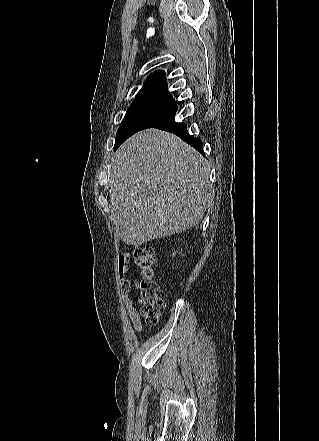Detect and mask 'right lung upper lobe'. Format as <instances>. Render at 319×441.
<instances>
[{
  "instance_id": "1",
  "label": "right lung upper lobe",
  "mask_w": 319,
  "mask_h": 441,
  "mask_svg": "<svg viewBox=\"0 0 319 441\" xmlns=\"http://www.w3.org/2000/svg\"><path fill=\"white\" fill-rule=\"evenodd\" d=\"M135 99H153L173 102L176 104L175 100L167 90L164 71L160 70L155 71L147 77L142 89L138 92Z\"/></svg>"
}]
</instances>
